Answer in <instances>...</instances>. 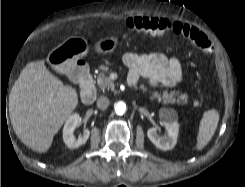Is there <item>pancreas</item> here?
<instances>
[{"instance_id":"cf45deb5","label":"pancreas","mask_w":245,"mask_h":187,"mask_svg":"<svg viewBox=\"0 0 245 187\" xmlns=\"http://www.w3.org/2000/svg\"><path fill=\"white\" fill-rule=\"evenodd\" d=\"M101 74L97 78V85L102 90H114V82L109 77V68L107 66H100ZM143 91H146L145 87H142ZM151 100L163 101L164 104L177 103L178 105H185L188 102L187 94H180L178 91H171L170 93L164 92L163 94L155 91L151 97Z\"/></svg>"}]
</instances>
